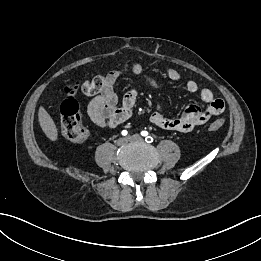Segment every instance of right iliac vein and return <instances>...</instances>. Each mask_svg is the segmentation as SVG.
I'll list each match as a JSON object with an SVG mask.
<instances>
[{
    "instance_id": "63e3f726",
    "label": "right iliac vein",
    "mask_w": 261,
    "mask_h": 261,
    "mask_svg": "<svg viewBox=\"0 0 261 261\" xmlns=\"http://www.w3.org/2000/svg\"><path fill=\"white\" fill-rule=\"evenodd\" d=\"M126 142H127V139H126V138H119V139L117 140V144H118L119 146L124 145Z\"/></svg>"
}]
</instances>
